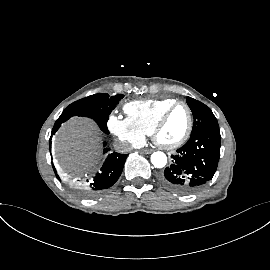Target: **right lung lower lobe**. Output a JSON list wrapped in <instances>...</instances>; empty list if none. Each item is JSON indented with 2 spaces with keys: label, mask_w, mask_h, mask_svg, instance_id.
I'll list each match as a JSON object with an SVG mask.
<instances>
[{
  "label": "right lung lower lobe",
  "mask_w": 270,
  "mask_h": 270,
  "mask_svg": "<svg viewBox=\"0 0 270 270\" xmlns=\"http://www.w3.org/2000/svg\"><path fill=\"white\" fill-rule=\"evenodd\" d=\"M92 119L99 125L100 129L105 134L109 133L108 128H107V121L94 119V118ZM66 120L67 119H58L54 124V127L52 129V134H55V132L60 127V125ZM49 145H50V151H51V138L49 141ZM105 145L106 144L104 143V146ZM109 150L110 148H105L104 153H107ZM126 158H127V155L125 154H119L116 152L109 153L102 168L100 169L101 172L95 175V177L93 178L90 184L83 186V188L80 190V193L84 196L92 197V196H96L105 192L120 177ZM52 166H53L57 179L60 181V177L57 175V171L53 164Z\"/></svg>",
  "instance_id": "right-lung-lower-lobe-1"
}]
</instances>
